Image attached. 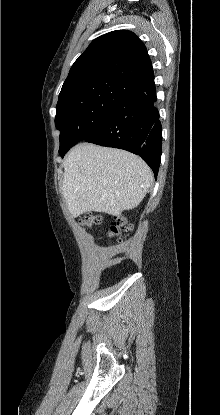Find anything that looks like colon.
<instances>
[{
	"instance_id": "colon-1",
	"label": "colon",
	"mask_w": 220,
	"mask_h": 415,
	"mask_svg": "<svg viewBox=\"0 0 220 415\" xmlns=\"http://www.w3.org/2000/svg\"><path fill=\"white\" fill-rule=\"evenodd\" d=\"M102 222V217L98 214H88L81 220L82 226L87 229H91ZM129 227L127 219L123 216L116 217L114 223L111 226V234L118 235L122 228L127 229Z\"/></svg>"
}]
</instances>
